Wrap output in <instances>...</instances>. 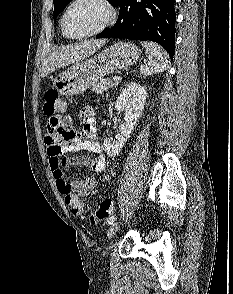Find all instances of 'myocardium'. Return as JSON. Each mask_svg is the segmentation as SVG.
Segmentation results:
<instances>
[{
    "mask_svg": "<svg viewBox=\"0 0 233 294\" xmlns=\"http://www.w3.org/2000/svg\"><path fill=\"white\" fill-rule=\"evenodd\" d=\"M82 1H84V0H72L69 3V5L66 7V9H65V11H64V13L62 15V18H61L62 32L64 33L65 36H67V37H69L71 39L82 40V39L97 36L100 33H102L103 31H105L107 28L112 26L114 24V22L116 21V18H117L116 8L112 4L111 1H109V0H93V1L97 2L98 4H100L106 10V18H105L104 22L99 27H97L93 31H90V32H88L86 34L73 35V34L69 33L67 28H66V18H67V15H68L69 11L72 9V7H74L76 4H78V3L82 2Z\"/></svg>",
    "mask_w": 233,
    "mask_h": 294,
    "instance_id": "f54148a6",
    "label": "myocardium"
}]
</instances>
